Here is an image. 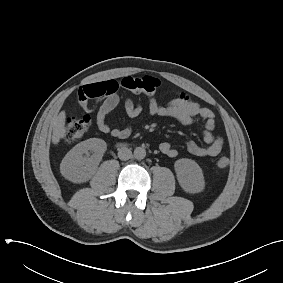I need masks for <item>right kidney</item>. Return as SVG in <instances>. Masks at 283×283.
<instances>
[{
    "mask_svg": "<svg viewBox=\"0 0 283 283\" xmlns=\"http://www.w3.org/2000/svg\"><path fill=\"white\" fill-rule=\"evenodd\" d=\"M106 149V142L98 138H90L78 143L63 158L60 164L61 174L74 183L88 181Z\"/></svg>",
    "mask_w": 283,
    "mask_h": 283,
    "instance_id": "1",
    "label": "right kidney"
}]
</instances>
